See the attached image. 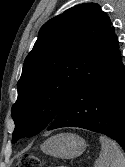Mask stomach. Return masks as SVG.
<instances>
[{"instance_id": "stomach-1", "label": "stomach", "mask_w": 125, "mask_h": 167, "mask_svg": "<svg viewBox=\"0 0 125 167\" xmlns=\"http://www.w3.org/2000/svg\"><path fill=\"white\" fill-rule=\"evenodd\" d=\"M86 148L85 140L72 133H62L48 138L41 149L51 156L71 159L80 156Z\"/></svg>"}]
</instances>
